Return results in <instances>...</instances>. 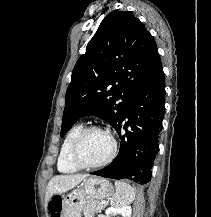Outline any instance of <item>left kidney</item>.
Listing matches in <instances>:
<instances>
[{
	"label": "left kidney",
	"instance_id": "5707ae66",
	"mask_svg": "<svg viewBox=\"0 0 211 217\" xmlns=\"http://www.w3.org/2000/svg\"><path fill=\"white\" fill-rule=\"evenodd\" d=\"M105 214L106 216L99 217H115L118 215H121L122 217H131V207L126 205L121 207L111 206L106 209Z\"/></svg>",
	"mask_w": 211,
	"mask_h": 217
}]
</instances>
